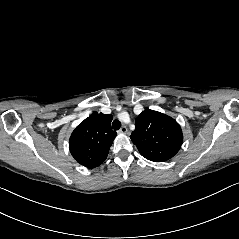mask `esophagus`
I'll return each mask as SVG.
<instances>
[{
	"label": "esophagus",
	"mask_w": 239,
	"mask_h": 239,
	"mask_svg": "<svg viewBox=\"0 0 239 239\" xmlns=\"http://www.w3.org/2000/svg\"><path fill=\"white\" fill-rule=\"evenodd\" d=\"M118 132L122 133V134H127L128 133V128L124 125L120 128V130Z\"/></svg>",
	"instance_id": "obj_1"
}]
</instances>
